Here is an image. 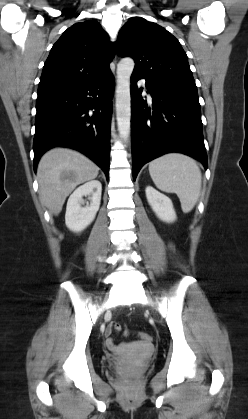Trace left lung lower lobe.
<instances>
[{"mask_svg":"<svg viewBox=\"0 0 248 419\" xmlns=\"http://www.w3.org/2000/svg\"><path fill=\"white\" fill-rule=\"evenodd\" d=\"M131 76V138L133 179L147 162L169 152H180L202 162L207 168V154L202 134L197 92L168 89L146 80L152 104L142 99L137 81Z\"/></svg>","mask_w":248,"mask_h":419,"instance_id":"1","label":"left lung lower lobe"}]
</instances>
